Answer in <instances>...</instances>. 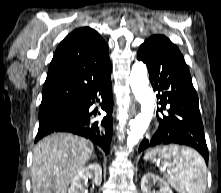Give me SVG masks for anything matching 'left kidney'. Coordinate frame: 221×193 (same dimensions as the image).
Masks as SVG:
<instances>
[{
  "mask_svg": "<svg viewBox=\"0 0 221 193\" xmlns=\"http://www.w3.org/2000/svg\"><path fill=\"white\" fill-rule=\"evenodd\" d=\"M156 183L159 185L160 190L151 192L152 184ZM141 190L143 193H173L167 182L149 172L142 177Z\"/></svg>",
  "mask_w": 221,
  "mask_h": 193,
  "instance_id": "left-kidney-1",
  "label": "left kidney"
}]
</instances>
